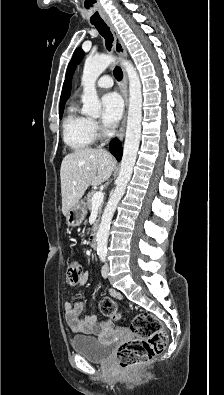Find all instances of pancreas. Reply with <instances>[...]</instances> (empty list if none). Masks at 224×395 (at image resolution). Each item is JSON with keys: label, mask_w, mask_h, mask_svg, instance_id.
Masks as SVG:
<instances>
[{"label": "pancreas", "mask_w": 224, "mask_h": 395, "mask_svg": "<svg viewBox=\"0 0 224 395\" xmlns=\"http://www.w3.org/2000/svg\"><path fill=\"white\" fill-rule=\"evenodd\" d=\"M96 192H97V191L92 190V191H90V192L87 194L86 203H85L86 210H89V211L92 210V197H93V195H94ZM101 211H102V205H100L99 208H98V217L100 216ZM95 227H96V224L94 225L93 229H95Z\"/></svg>", "instance_id": "cf45deb5"}]
</instances>
